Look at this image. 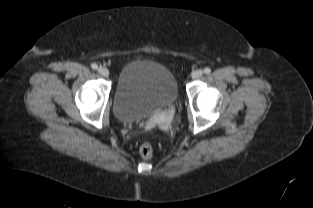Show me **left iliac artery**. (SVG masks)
<instances>
[{
    "mask_svg": "<svg viewBox=\"0 0 313 208\" xmlns=\"http://www.w3.org/2000/svg\"><path fill=\"white\" fill-rule=\"evenodd\" d=\"M210 72H211V69H210L209 67H206V68L204 69V73H205V74H210Z\"/></svg>",
    "mask_w": 313,
    "mask_h": 208,
    "instance_id": "obj_1",
    "label": "left iliac artery"
}]
</instances>
